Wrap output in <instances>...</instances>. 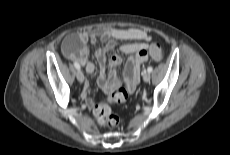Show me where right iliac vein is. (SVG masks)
Instances as JSON below:
<instances>
[{
    "mask_svg": "<svg viewBox=\"0 0 230 155\" xmlns=\"http://www.w3.org/2000/svg\"><path fill=\"white\" fill-rule=\"evenodd\" d=\"M76 77H77V80L80 82V83H83L84 81V74L81 70H78L76 72Z\"/></svg>",
    "mask_w": 230,
    "mask_h": 155,
    "instance_id": "right-iliac-vein-1",
    "label": "right iliac vein"
}]
</instances>
